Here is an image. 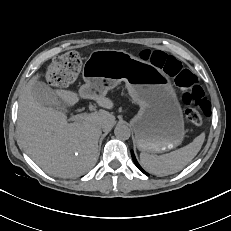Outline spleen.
<instances>
[{
	"instance_id": "spleen-1",
	"label": "spleen",
	"mask_w": 231,
	"mask_h": 231,
	"mask_svg": "<svg viewBox=\"0 0 231 231\" xmlns=\"http://www.w3.org/2000/svg\"><path fill=\"white\" fill-rule=\"evenodd\" d=\"M204 139L205 134L202 133L188 145L160 156L141 152V164L148 172L156 175H169L179 172L197 155Z\"/></svg>"
}]
</instances>
